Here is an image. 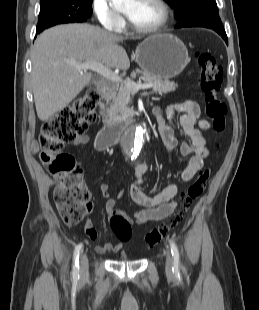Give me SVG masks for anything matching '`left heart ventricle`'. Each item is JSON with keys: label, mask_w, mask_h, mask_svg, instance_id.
<instances>
[{"label": "left heart ventricle", "mask_w": 259, "mask_h": 310, "mask_svg": "<svg viewBox=\"0 0 259 310\" xmlns=\"http://www.w3.org/2000/svg\"><path fill=\"white\" fill-rule=\"evenodd\" d=\"M124 13L132 23L142 28L152 27L162 18V10L154 0H130Z\"/></svg>", "instance_id": "b2bd125f"}]
</instances>
